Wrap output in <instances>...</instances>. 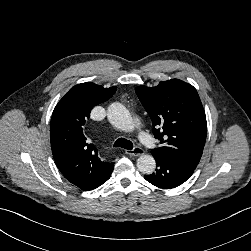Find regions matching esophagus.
Wrapping results in <instances>:
<instances>
[{"label":"esophagus","instance_id":"obj_1","mask_svg":"<svg viewBox=\"0 0 251 251\" xmlns=\"http://www.w3.org/2000/svg\"><path fill=\"white\" fill-rule=\"evenodd\" d=\"M144 150L141 147H134L131 150H126V154L130 155V156H141L144 154Z\"/></svg>","mask_w":251,"mask_h":251}]
</instances>
